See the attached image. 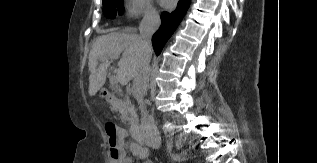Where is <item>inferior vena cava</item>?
<instances>
[{
    "label": "inferior vena cava",
    "mask_w": 317,
    "mask_h": 163,
    "mask_svg": "<svg viewBox=\"0 0 317 163\" xmlns=\"http://www.w3.org/2000/svg\"><path fill=\"white\" fill-rule=\"evenodd\" d=\"M159 26V14L154 10H148L139 25L144 57L133 82V94L138 101L139 108L141 110L140 132L145 143L155 149L160 147L161 137L153 117L149 115L146 109L143 98L147 93V86L149 82L150 60L152 55L151 38L158 30Z\"/></svg>",
    "instance_id": "1"
}]
</instances>
